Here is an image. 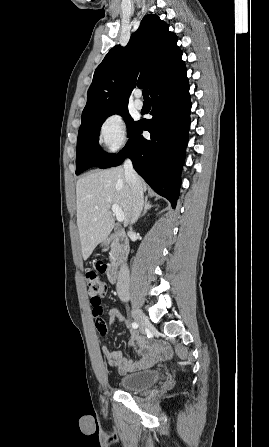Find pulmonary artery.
I'll list each match as a JSON object with an SVG mask.
<instances>
[{"label": "pulmonary artery", "mask_w": 269, "mask_h": 447, "mask_svg": "<svg viewBox=\"0 0 269 447\" xmlns=\"http://www.w3.org/2000/svg\"><path fill=\"white\" fill-rule=\"evenodd\" d=\"M143 100H142V98H141V96L139 95V94H137L136 96H135V106H136V108L137 109H142L143 108Z\"/></svg>", "instance_id": "pulmonary-artery-1"}]
</instances>
